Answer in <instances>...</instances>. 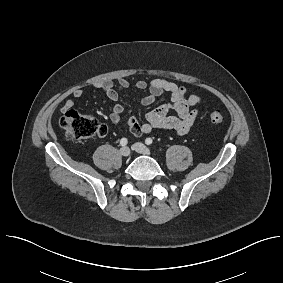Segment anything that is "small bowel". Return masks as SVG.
Returning a JSON list of instances; mask_svg holds the SVG:
<instances>
[{
  "instance_id": "small-bowel-1",
  "label": "small bowel",
  "mask_w": 283,
  "mask_h": 283,
  "mask_svg": "<svg viewBox=\"0 0 283 283\" xmlns=\"http://www.w3.org/2000/svg\"><path fill=\"white\" fill-rule=\"evenodd\" d=\"M129 86L128 80L124 78H120L116 82L104 81L95 85L96 88L104 92L108 99L114 102L118 100L119 91L126 90ZM135 87L137 90L145 92L141 98V104L144 106L153 104L164 94L170 96V101L150 110L143 123H140L134 116L129 117L127 125L132 135L140 136L154 129L174 131L178 135H184L190 131L198 115L196 109L200 101L198 96H188L185 87L167 78H155L150 82L140 80ZM72 95L74 98H80L83 96V90L76 89ZM73 105V100L69 98L62 104V110L67 111ZM123 111L124 108L121 104H115L109 115V120L113 124H118ZM170 111H174L175 114L171 115Z\"/></svg>"
}]
</instances>
